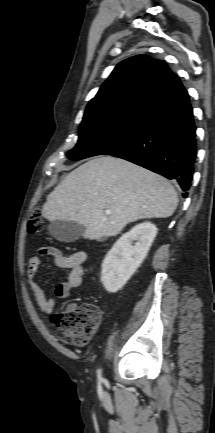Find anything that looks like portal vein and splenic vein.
Listing matches in <instances>:
<instances>
[{
    "instance_id": "portal-vein-and-splenic-vein-1",
    "label": "portal vein and splenic vein",
    "mask_w": 215,
    "mask_h": 433,
    "mask_svg": "<svg viewBox=\"0 0 215 433\" xmlns=\"http://www.w3.org/2000/svg\"><path fill=\"white\" fill-rule=\"evenodd\" d=\"M105 214L108 216V215L111 214V211H110V210H106V211H105Z\"/></svg>"
}]
</instances>
